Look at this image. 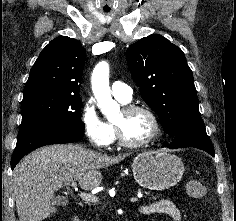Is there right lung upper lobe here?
<instances>
[{
	"label": "right lung upper lobe",
	"mask_w": 236,
	"mask_h": 221,
	"mask_svg": "<svg viewBox=\"0 0 236 221\" xmlns=\"http://www.w3.org/2000/svg\"><path fill=\"white\" fill-rule=\"evenodd\" d=\"M86 51L75 39L59 36L40 53L30 71L24 94L49 91L79 94Z\"/></svg>",
	"instance_id": "right-lung-upper-lobe-1"
}]
</instances>
